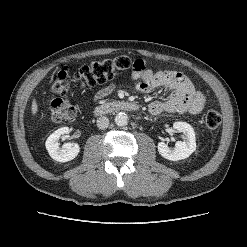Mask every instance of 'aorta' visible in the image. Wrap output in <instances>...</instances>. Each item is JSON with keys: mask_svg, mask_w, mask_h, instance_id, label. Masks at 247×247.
<instances>
[{"mask_svg": "<svg viewBox=\"0 0 247 247\" xmlns=\"http://www.w3.org/2000/svg\"><path fill=\"white\" fill-rule=\"evenodd\" d=\"M115 123L117 126L123 127L128 124V116L124 112H120L115 116Z\"/></svg>", "mask_w": 247, "mask_h": 247, "instance_id": "aorta-1", "label": "aorta"}]
</instances>
